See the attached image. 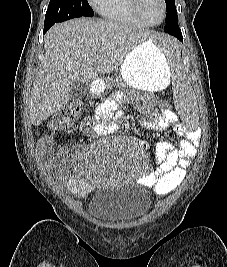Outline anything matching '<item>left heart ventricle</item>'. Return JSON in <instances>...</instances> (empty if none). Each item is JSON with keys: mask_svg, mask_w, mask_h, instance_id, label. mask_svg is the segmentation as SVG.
<instances>
[{"mask_svg": "<svg viewBox=\"0 0 227 267\" xmlns=\"http://www.w3.org/2000/svg\"><path fill=\"white\" fill-rule=\"evenodd\" d=\"M140 7L147 21L156 23L162 18V4L160 0H141Z\"/></svg>", "mask_w": 227, "mask_h": 267, "instance_id": "b2bd125f", "label": "left heart ventricle"}]
</instances>
